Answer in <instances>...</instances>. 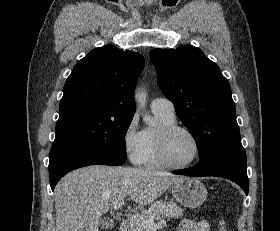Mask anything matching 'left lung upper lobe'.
I'll return each mask as SVG.
<instances>
[{"mask_svg": "<svg viewBox=\"0 0 280 231\" xmlns=\"http://www.w3.org/2000/svg\"><path fill=\"white\" fill-rule=\"evenodd\" d=\"M150 59L163 94L195 139L200 160L228 143L241 141L228 80L194 46L154 49Z\"/></svg>", "mask_w": 280, "mask_h": 231, "instance_id": "5c2ea615", "label": "left lung upper lobe"}]
</instances>
